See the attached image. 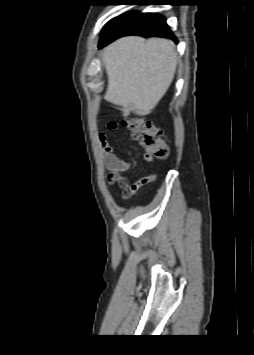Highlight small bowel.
Returning <instances> with one entry per match:
<instances>
[{"label":"small bowel","mask_w":254,"mask_h":355,"mask_svg":"<svg viewBox=\"0 0 254 355\" xmlns=\"http://www.w3.org/2000/svg\"><path fill=\"white\" fill-rule=\"evenodd\" d=\"M118 126L119 124L114 121L108 123V128L110 130H115ZM98 142L100 144L105 166L108 170L107 182L109 185L117 183L122 188V196L124 199L132 197L142 185L157 179L156 175H149L130 184L128 178L122 176L121 173L126 172L131 168V162L121 158L115 153L114 147L108 143L105 133L100 132L98 134ZM120 149L123 153L131 155V151L128 147L122 146ZM145 159L148 161L153 160L152 158L147 157H145Z\"/></svg>","instance_id":"obj_1"}]
</instances>
